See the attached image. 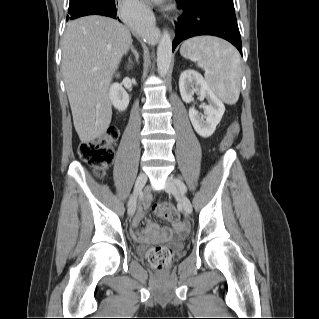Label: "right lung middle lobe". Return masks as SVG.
I'll list each match as a JSON object with an SVG mask.
<instances>
[{
	"label": "right lung middle lobe",
	"mask_w": 319,
	"mask_h": 319,
	"mask_svg": "<svg viewBox=\"0 0 319 319\" xmlns=\"http://www.w3.org/2000/svg\"><path fill=\"white\" fill-rule=\"evenodd\" d=\"M92 0H70L68 13L69 16L74 14L75 12L82 9L85 5H87Z\"/></svg>",
	"instance_id": "obj_1"
}]
</instances>
